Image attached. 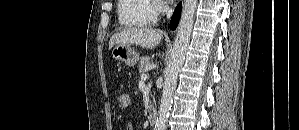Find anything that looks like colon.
<instances>
[{
    "label": "colon",
    "mask_w": 299,
    "mask_h": 130,
    "mask_svg": "<svg viewBox=\"0 0 299 130\" xmlns=\"http://www.w3.org/2000/svg\"><path fill=\"white\" fill-rule=\"evenodd\" d=\"M130 95L128 93H122L120 94L119 98H118V102L120 107L122 108H127L130 105Z\"/></svg>",
    "instance_id": "obj_1"
}]
</instances>
